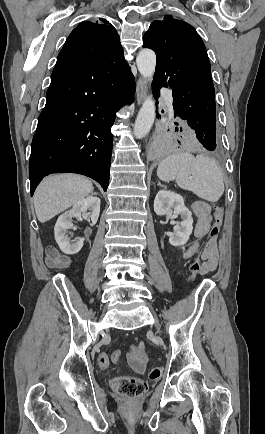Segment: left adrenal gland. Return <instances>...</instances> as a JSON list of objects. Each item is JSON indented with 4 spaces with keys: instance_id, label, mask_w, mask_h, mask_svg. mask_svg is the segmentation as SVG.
I'll list each match as a JSON object with an SVG mask.
<instances>
[{
    "instance_id": "1",
    "label": "left adrenal gland",
    "mask_w": 265,
    "mask_h": 434,
    "mask_svg": "<svg viewBox=\"0 0 265 434\" xmlns=\"http://www.w3.org/2000/svg\"><path fill=\"white\" fill-rule=\"evenodd\" d=\"M157 186H161V188H164V190H166L165 186H162L161 182H158Z\"/></svg>"
}]
</instances>
